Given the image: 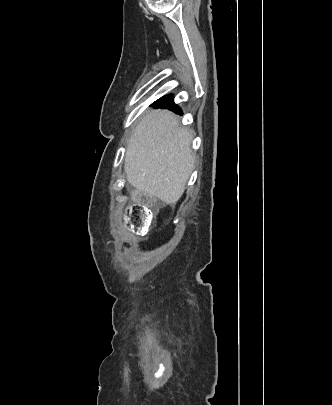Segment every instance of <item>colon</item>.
I'll return each instance as SVG.
<instances>
[{
    "label": "colon",
    "instance_id": "1",
    "mask_svg": "<svg viewBox=\"0 0 332 405\" xmlns=\"http://www.w3.org/2000/svg\"><path fill=\"white\" fill-rule=\"evenodd\" d=\"M155 205V199L141 193L136 203L127 210L126 224L138 233L147 232L155 221L151 208Z\"/></svg>",
    "mask_w": 332,
    "mask_h": 405
}]
</instances>
